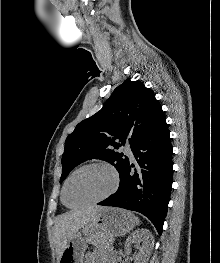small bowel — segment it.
Here are the masks:
<instances>
[{
  "label": "small bowel",
  "instance_id": "c3829d8e",
  "mask_svg": "<svg viewBox=\"0 0 220 263\" xmlns=\"http://www.w3.org/2000/svg\"><path fill=\"white\" fill-rule=\"evenodd\" d=\"M88 263H93V261L91 259L88 260Z\"/></svg>",
  "mask_w": 220,
  "mask_h": 263
}]
</instances>
